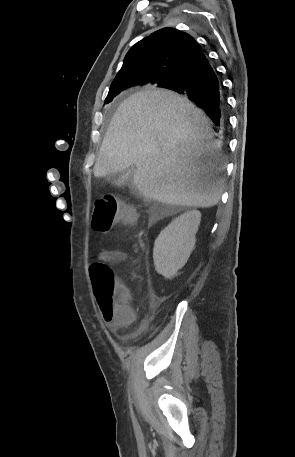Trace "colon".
<instances>
[{
  "label": "colon",
  "mask_w": 295,
  "mask_h": 457,
  "mask_svg": "<svg viewBox=\"0 0 295 457\" xmlns=\"http://www.w3.org/2000/svg\"><path fill=\"white\" fill-rule=\"evenodd\" d=\"M133 219V210L121 204L113 195H104L95 202L92 226L98 232L107 233L119 220ZM90 277L103 318L128 320L130 289L118 282L110 267L102 262L91 264Z\"/></svg>",
  "instance_id": "colon-1"
}]
</instances>
